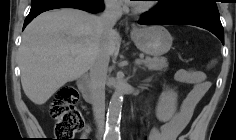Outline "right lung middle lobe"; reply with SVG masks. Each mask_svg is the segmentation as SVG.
Masks as SVG:
<instances>
[{
	"label": "right lung middle lobe",
	"mask_w": 236,
	"mask_h": 140,
	"mask_svg": "<svg viewBox=\"0 0 236 140\" xmlns=\"http://www.w3.org/2000/svg\"><path fill=\"white\" fill-rule=\"evenodd\" d=\"M47 1H51V0H32L31 5H36V4L47 2ZM81 1L94 5V6H98L101 3V0H81Z\"/></svg>",
	"instance_id": "1"
}]
</instances>
